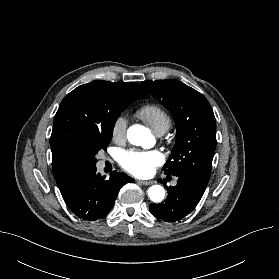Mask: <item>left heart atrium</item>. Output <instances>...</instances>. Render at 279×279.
<instances>
[{"label": "left heart atrium", "instance_id": "left-heart-atrium-1", "mask_svg": "<svg viewBox=\"0 0 279 279\" xmlns=\"http://www.w3.org/2000/svg\"><path fill=\"white\" fill-rule=\"evenodd\" d=\"M163 161L164 157L158 150L125 151L119 158L121 166L126 171L137 177H146L151 175L155 168L162 164Z\"/></svg>", "mask_w": 279, "mask_h": 279}]
</instances>
